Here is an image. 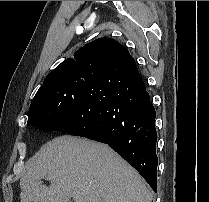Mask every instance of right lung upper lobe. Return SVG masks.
Returning a JSON list of instances; mask_svg holds the SVG:
<instances>
[{
  "label": "right lung upper lobe",
  "mask_w": 209,
  "mask_h": 202,
  "mask_svg": "<svg viewBox=\"0 0 209 202\" xmlns=\"http://www.w3.org/2000/svg\"><path fill=\"white\" fill-rule=\"evenodd\" d=\"M131 60L134 59L129 51L119 42L114 39L99 38L77 50L74 53V58L64 60L50 72L39 90L54 77L75 73L99 77L110 69H125ZM29 123L28 119L27 125Z\"/></svg>",
  "instance_id": "obj_1"
}]
</instances>
